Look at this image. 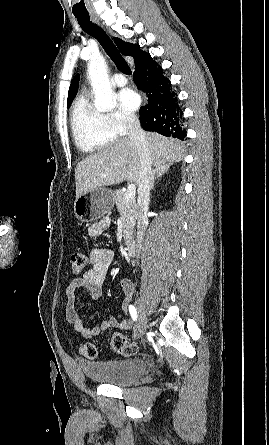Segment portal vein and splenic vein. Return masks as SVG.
Wrapping results in <instances>:
<instances>
[{
	"instance_id": "1",
	"label": "portal vein and splenic vein",
	"mask_w": 269,
	"mask_h": 445,
	"mask_svg": "<svg viewBox=\"0 0 269 445\" xmlns=\"http://www.w3.org/2000/svg\"><path fill=\"white\" fill-rule=\"evenodd\" d=\"M135 193H136L135 184H129L125 195V201L129 202L130 200H133L135 197Z\"/></svg>"
}]
</instances>
